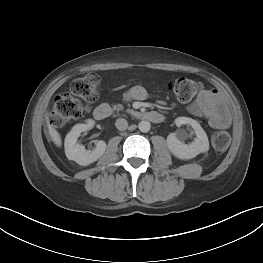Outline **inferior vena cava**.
Returning <instances> with one entry per match:
<instances>
[{"label":"inferior vena cava","instance_id":"1","mask_svg":"<svg viewBox=\"0 0 263 263\" xmlns=\"http://www.w3.org/2000/svg\"><path fill=\"white\" fill-rule=\"evenodd\" d=\"M115 126H116V128H117L118 130L124 131V130H126L127 127H128V122H127V120L124 119V118H119V119L116 120Z\"/></svg>","mask_w":263,"mask_h":263}]
</instances>
